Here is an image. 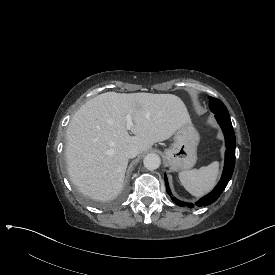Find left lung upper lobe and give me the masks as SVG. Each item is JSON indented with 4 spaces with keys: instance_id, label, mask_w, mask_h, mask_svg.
Returning <instances> with one entry per match:
<instances>
[{
    "instance_id": "obj_1",
    "label": "left lung upper lobe",
    "mask_w": 275,
    "mask_h": 275,
    "mask_svg": "<svg viewBox=\"0 0 275 275\" xmlns=\"http://www.w3.org/2000/svg\"><path fill=\"white\" fill-rule=\"evenodd\" d=\"M209 100H210L209 106L213 113L229 116L227 108L219 99L209 96Z\"/></svg>"
}]
</instances>
